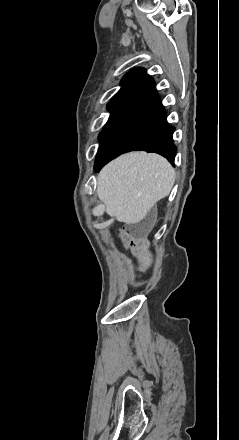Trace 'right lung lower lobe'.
I'll return each mask as SVG.
<instances>
[{
  "label": "right lung lower lobe",
  "mask_w": 239,
  "mask_h": 440,
  "mask_svg": "<svg viewBox=\"0 0 239 440\" xmlns=\"http://www.w3.org/2000/svg\"><path fill=\"white\" fill-rule=\"evenodd\" d=\"M174 130L166 121L165 110L154 88L126 107L102 141L95 170L99 171L113 158L133 150L158 153L174 164L177 152L172 137Z\"/></svg>",
  "instance_id": "1"
}]
</instances>
